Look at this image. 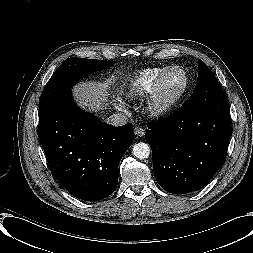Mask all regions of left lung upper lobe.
<instances>
[{
	"label": "left lung upper lobe",
	"mask_w": 253,
	"mask_h": 253,
	"mask_svg": "<svg viewBox=\"0 0 253 253\" xmlns=\"http://www.w3.org/2000/svg\"><path fill=\"white\" fill-rule=\"evenodd\" d=\"M198 80L191 98H196L205 103L211 100L216 94L223 92V89L208 66L198 59Z\"/></svg>",
	"instance_id": "obj_1"
}]
</instances>
